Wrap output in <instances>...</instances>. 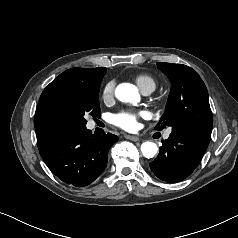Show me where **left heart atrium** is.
<instances>
[{"mask_svg": "<svg viewBox=\"0 0 238 238\" xmlns=\"http://www.w3.org/2000/svg\"><path fill=\"white\" fill-rule=\"evenodd\" d=\"M146 116L145 111H122L114 115L113 123L126 131H134L138 127V119Z\"/></svg>", "mask_w": 238, "mask_h": 238, "instance_id": "left-heart-atrium-1", "label": "left heart atrium"}]
</instances>
